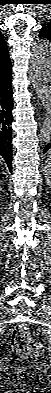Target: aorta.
<instances>
[{"label":"aorta","instance_id":"obj_1","mask_svg":"<svg viewBox=\"0 0 51 393\" xmlns=\"http://www.w3.org/2000/svg\"><path fill=\"white\" fill-rule=\"evenodd\" d=\"M31 80L38 98L46 109L47 116L41 128V137L45 141L51 139V44L48 40H40L33 46L30 60Z\"/></svg>","mask_w":51,"mask_h":393}]
</instances>
